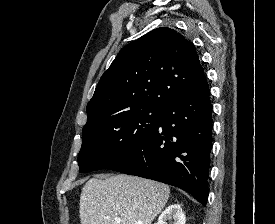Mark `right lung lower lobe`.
Wrapping results in <instances>:
<instances>
[{
  "mask_svg": "<svg viewBox=\"0 0 275 224\" xmlns=\"http://www.w3.org/2000/svg\"><path fill=\"white\" fill-rule=\"evenodd\" d=\"M211 114L209 87L203 74L164 109L153 132L108 169L179 187L206 206Z\"/></svg>",
  "mask_w": 275,
  "mask_h": 224,
  "instance_id": "1",
  "label": "right lung lower lobe"
}]
</instances>
